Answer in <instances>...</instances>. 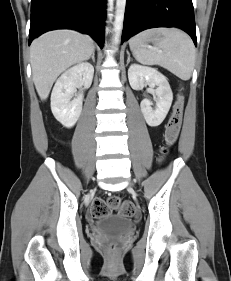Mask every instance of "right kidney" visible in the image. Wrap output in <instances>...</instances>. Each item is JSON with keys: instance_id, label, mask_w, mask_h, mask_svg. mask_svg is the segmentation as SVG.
Listing matches in <instances>:
<instances>
[{"instance_id": "obj_1", "label": "right kidney", "mask_w": 231, "mask_h": 281, "mask_svg": "<svg viewBox=\"0 0 231 281\" xmlns=\"http://www.w3.org/2000/svg\"><path fill=\"white\" fill-rule=\"evenodd\" d=\"M94 68L82 62L65 71L56 81L51 93V110L54 117L65 127L71 128L78 121L83 103V89H88L93 80ZM83 89L72 101L77 88Z\"/></svg>"}]
</instances>
